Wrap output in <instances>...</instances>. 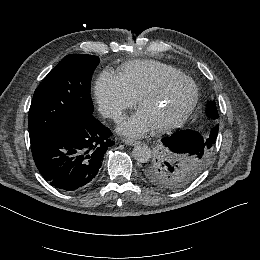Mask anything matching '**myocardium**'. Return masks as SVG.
Returning <instances> with one entry per match:
<instances>
[{"label": "myocardium", "mask_w": 260, "mask_h": 260, "mask_svg": "<svg viewBox=\"0 0 260 260\" xmlns=\"http://www.w3.org/2000/svg\"><path fill=\"white\" fill-rule=\"evenodd\" d=\"M177 80H186V81L190 82L194 89L193 95L190 98L187 105L184 107V109L177 116L154 126V130L157 132H162V131L176 128V127L180 126L186 120V118L192 112V110L194 109V107L196 106V104L199 100L200 94H199L196 84L193 82V80L189 76H187L183 73H180V74L174 75V76L163 77V78L155 80L147 89H145L140 94V96L138 98V105L141 106L150 97L159 93L166 85H168L172 82H175Z\"/></svg>", "instance_id": "myocardium-1"}]
</instances>
